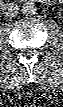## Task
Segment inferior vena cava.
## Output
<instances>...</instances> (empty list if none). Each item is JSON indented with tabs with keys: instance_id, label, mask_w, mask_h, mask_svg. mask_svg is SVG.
Masks as SVG:
<instances>
[{
	"instance_id": "1",
	"label": "inferior vena cava",
	"mask_w": 63,
	"mask_h": 107,
	"mask_svg": "<svg viewBox=\"0 0 63 107\" xmlns=\"http://www.w3.org/2000/svg\"><path fill=\"white\" fill-rule=\"evenodd\" d=\"M19 7L15 3H6L3 7V14L8 18L15 17L18 14Z\"/></svg>"
}]
</instances>
